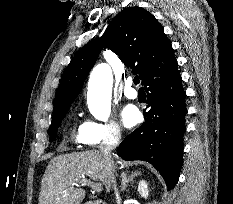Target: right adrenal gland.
Listing matches in <instances>:
<instances>
[{
  "mask_svg": "<svg viewBox=\"0 0 233 204\" xmlns=\"http://www.w3.org/2000/svg\"><path fill=\"white\" fill-rule=\"evenodd\" d=\"M137 175H139V172H138V171L132 173V175H130V176H128V177H127L126 173H122V174H121V179H122V180H121V191H124V190L126 189V187H127V184H128L130 181H132L133 178H134L135 176H137Z\"/></svg>",
  "mask_w": 233,
  "mask_h": 204,
  "instance_id": "1",
  "label": "right adrenal gland"
}]
</instances>
